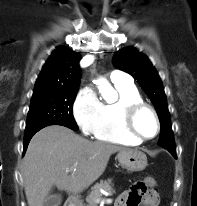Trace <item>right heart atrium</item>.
Returning a JSON list of instances; mask_svg holds the SVG:
<instances>
[{
    "mask_svg": "<svg viewBox=\"0 0 197 206\" xmlns=\"http://www.w3.org/2000/svg\"><path fill=\"white\" fill-rule=\"evenodd\" d=\"M101 113V102L91 87L82 88L73 104V117L84 135L93 133Z\"/></svg>",
    "mask_w": 197,
    "mask_h": 206,
    "instance_id": "obj_1",
    "label": "right heart atrium"
}]
</instances>
